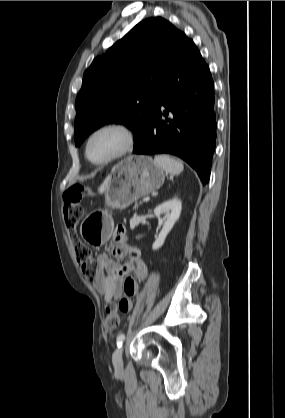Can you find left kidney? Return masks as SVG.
<instances>
[{"mask_svg":"<svg viewBox=\"0 0 285 418\" xmlns=\"http://www.w3.org/2000/svg\"><path fill=\"white\" fill-rule=\"evenodd\" d=\"M182 204L181 201L178 198H172L168 201H165L164 203L158 205L154 209V215L161 220V216L164 215V222L163 227L158 235V237L155 239L152 249L157 250L164 244V241L168 235V233L173 228L176 221L179 219L181 214Z\"/></svg>","mask_w":285,"mask_h":418,"instance_id":"5707ae66","label":"left kidney"}]
</instances>
